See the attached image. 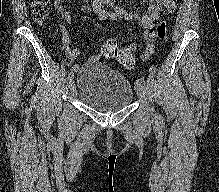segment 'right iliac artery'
Returning a JSON list of instances; mask_svg holds the SVG:
<instances>
[{"label": "right iliac artery", "mask_w": 219, "mask_h": 192, "mask_svg": "<svg viewBox=\"0 0 219 192\" xmlns=\"http://www.w3.org/2000/svg\"><path fill=\"white\" fill-rule=\"evenodd\" d=\"M68 76H69V77L72 76V72H71V71L68 73Z\"/></svg>", "instance_id": "82829eb1"}]
</instances>
